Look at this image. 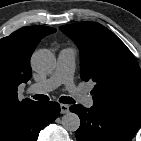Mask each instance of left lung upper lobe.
<instances>
[{
  "mask_svg": "<svg viewBox=\"0 0 141 141\" xmlns=\"http://www.w3.org/2000/svg\"><path fill=\"white\" fill-rule=\"evenodd\" d=\"M80 48V75L95 82L93 106L141 121V70L126 45L97 22L61 26Z\"/></svg>",
  "mask_w": 141,
  "mask_h": 141,
  "instance_id": "left-lung-upper-lobe-1",
  "label": "left lung upper lobe"
}]
</instances>
